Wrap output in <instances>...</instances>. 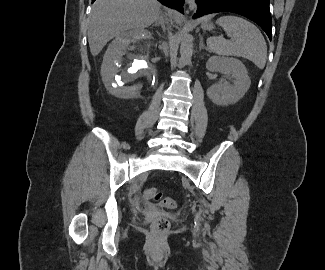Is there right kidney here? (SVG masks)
Returning <instances> with one entry per match:
<instances>
[{
	"mask_svg": "<svg viewBox=\"0 0 325 270\" xmlns=\"http://www.w3.org/2000/svg\"><path fill=\"white\" fill-rule=\"evenodd\" d=\"M150 38L147 30H132L111 42L101 66L102 80L109 93L123 99L134 98L155 73L150 62ZM123 63L127 66L124 69ZM129 83L133 84L125 86Z\"/></svg>",
	"mask_w": 325,
	"mask_h": 270,
	"instance_id": "right-kidney-1",
	"label": "right kidney"
}]
</instances>
